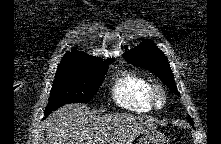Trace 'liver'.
Returning a JSON list of instances; mask_svg holds the SVG:
<instances>
[{"label": "liver", "instance_id": "1", "mask_svg": "<svg viewBox=\"0 0 221 144\" xmlns=\"http://www.w3.org/2000/svg\"><path fill=\"white\" fill-rule=\"evenodd\" d=\"M45 123L47 144H132L140 134L156 130L151 119L130 113L96 116L79 104L64 105Z\"/></svg>", "mask_w": 221, "mask_h": 144}]
</instances>
